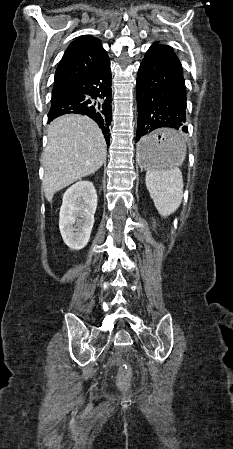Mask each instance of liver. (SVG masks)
<instances>
[{"label": "liver", "instance_id": "6515ba94", "mask_svg": "<svg viewBox=\"0 0 233 449\" xmlns=\"http://www.w3.org/2000/svg\"><path fill=\"white\" fill-rule=\"evenodd\" d=\"M48 143L42 156V190L48 201L59 190L95 173L106 159V142L89 117L67 114L47 129Z\"/></svg>", "mask_w": 233, "mask_h": 449}]
</instances>
